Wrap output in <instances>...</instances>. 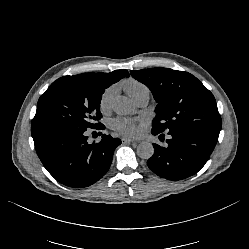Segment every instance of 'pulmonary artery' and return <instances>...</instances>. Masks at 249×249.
Wrapping results in <instances>:
<instances>
[{
  "instance_id": "pulmonary-artery-1",
  "label": "pulmonary artery",
  "mask_w": 249,
  "mask_h": 249,
  "mask_svg": "<svg viewBox=\"0 0 249 249\" xmlns=\"http://www.w3.org/2000/svg\"><path fill=\"white\" fill-rule=\"evenodd\" d=\"M149 98L150 97L148 95H144V96L138 98L135 102L137 103L138 106L144 107L148 104Z\"/></svg>"
}]
</instances>
